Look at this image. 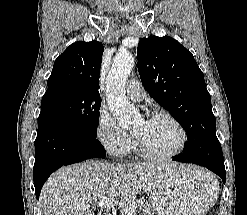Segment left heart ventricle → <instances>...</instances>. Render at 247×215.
I'll list each match as a JSON object with an SVG mask.
<instances>
[{
	"label": "left heart ventricle",
	"instance_id": "left-heart-ventricle-1",
	"mask_svg": "<svg viewBox=\"0 0 247 215\" xmlns=\"http://www.w3.org/2000/svg\"><path fill=\"white\" fill-rule=\"evenodd\" d=\"M132 133L136 134L145 147L158 154L174 151L180 143V133L169 120L160 118L155 120H139Z\"/></svg>",
	"mask_w": 247,
	"mask_h": 215
}]
</instances>
